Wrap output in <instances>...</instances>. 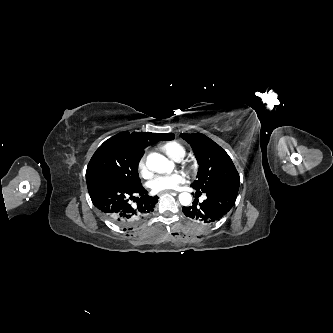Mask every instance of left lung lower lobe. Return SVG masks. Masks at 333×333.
<instances>
[{
  "label": "left lung lower lobe",
  "mask_w": 333,
  "mask_h": 333,
  "mask_svg": "<svg viewBox=\"0 0 333 333\" xmlns=\"http://www.w3.org/2000/svg\"><path fill=\"white\" fill-rule=\"evenodd\" d=\"M207 198L198 203L193 201L192 206L183 207V213L198 222L214 223L224 217L235 204L237 198V190L227 191H211L204 192ZM228 200L226 203L220 204L218 200Z\"/></svg>",
  "instance_id": "1"
}]
</instances>
